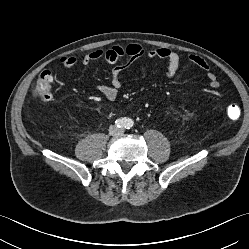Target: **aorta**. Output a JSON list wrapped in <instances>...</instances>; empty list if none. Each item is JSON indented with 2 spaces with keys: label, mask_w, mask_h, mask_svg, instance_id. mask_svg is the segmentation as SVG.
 <instances>
[{
  "label": "aorta",
  "mask_w": 249,
  "mask_h": 249,
  "mask_svg": "<svg viewBox=\"0 0 249 249\" xmlns=\"http://www.w3.org/2000/svg\"><path fill=\"white\" fill-rule=\"evenodd\" d=\"M132 123H133V122H132V120H130V124H129V126H131V125H132Z\"/></svg>",
  "instance_id": "762f6f07"
}]
</instances>
